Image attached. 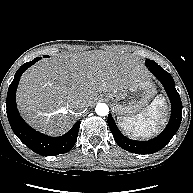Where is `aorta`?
Returning a JSON list of instances; mask_svg holds the SVG:
<instances>
[{"mask_svg":"<svg viewBox=\"0 0 193 193\" xmlns=\"http://www.w3.org/2000/svg\"><path fill=\"white\" fill-rule=\"evenodd\" d=\"M95 111L99 116H106L109 112V107L104 103H100L96 106Z\"/></svg>","mask_w":193,"mask_h":193,"instance_id":"obj_1","label":"aorta"}]
</instances>
